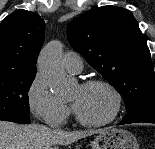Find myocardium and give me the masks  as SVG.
I'll return each mask as SVG.
<instances>
[{
	"label": "myocardium",
	"instance_id": "f54148a6",
	"mask_svg": "<svg viewBox=\"0 0 155 149\" xmlns=\"http://www.w3.org/2000/svg\"><path fill=\"white\" fill-rule=\"evenodd\" d=\"M83 88L102 87L106 89L113 98V109L110 116L102 121H89L84 119L73 107V113L78 123L87 127H101L113 122L119 115L122 107V96L119 90L110 82L103 79H91L81 84Z\"/></svg>",
	"mask_w": 155,
	"mask_h": 149
}]
</instances>
